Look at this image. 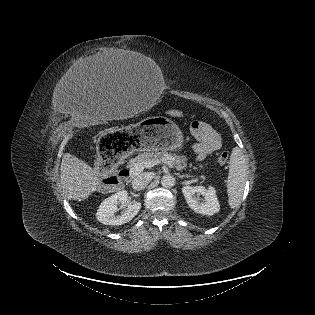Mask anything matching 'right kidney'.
<instances>
[{
  "label": "right kidney",
  "instance_id": "obj_1",
  "mask_svg": "<svg viewBox=\"0 0 315 315\" xmlns=\"http://www.w3.org/2000/svg\"><path fill=\"white\" fill-rule=\"evenodd\" d=\"M128 200L127 191H119L110 197L106 198L99 206L96 213V218L99 222L105 225L118 226L131 221L141 208V203L133 201L128 205L126 211L121 215H115L118 211L117 204H125Z\"/></svg>",
  "mask_w": 315,
  "mask_h": 315
}]
</instances>
